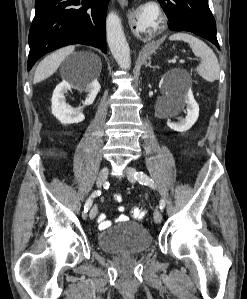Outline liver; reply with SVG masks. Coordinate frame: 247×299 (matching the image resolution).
<instances>
[{
  "label": "liver",
  "instance_id": "1",
  "mask_svg": "<svg viewBox=\"0 0 247 299\" xmlns=\"http://www.w3.org/2000/svg\"><path fill=\"white\" fill-rule=\"evenodd\" d=\"M74 49V46L63 47L45 57L35 70L33 83L37 84L53 75L62 61L70 55Z\"/></svg>",
  "mask_w": 247,
  "mask_h": 299
}]
</instances>
